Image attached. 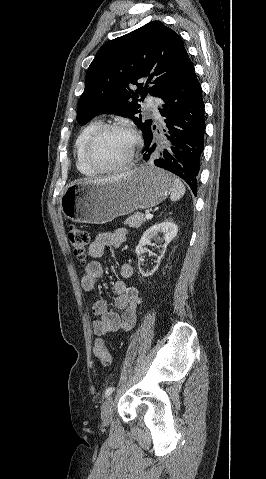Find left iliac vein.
Masks as SVG:
<instances>
[{
	"instance_id": "4c4485c4",
	"label": "left iliac vein",
	"mask_w": 266,
	"mask_h": 479,
	"mask_svg": "<svg viewBox=\"0 0 266 479\" xmlns=\"http://www.w3.org/2000/svg\"><path fill=\"white\" fill-rule=\"evenodd\" d=\"M113 415V397L110 396L103 403L101 408V419L103 424L108 425L112 421Z\"/></svg>"
}]
</instances>
